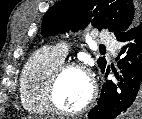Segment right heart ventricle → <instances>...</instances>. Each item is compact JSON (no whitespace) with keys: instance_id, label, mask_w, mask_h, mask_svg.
Instances as JSON below:
<instances>
[{"instance_id":"1","label":"right heart ventricle","mask_w":142,"mask_h":119,"mask_svg":"<svg viewBox=\"0 0 142 119\" xmlns=\"http://www.w3.org/2000/svg\"><path fill=\"white\" fill-rule=\"evenodd\" d=\"M63 62L64 59L51 47L41 48L29 58L20 78V98L27 111L40 115L50 112L45 98L46 86Z\"/></svg>"}]
</instances>
